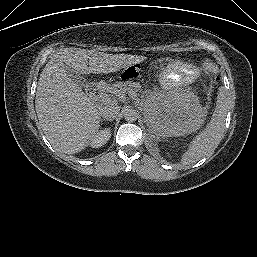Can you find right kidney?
Here are the masks:
<instances>
[{"instance_id":"obj_1","label":"right kidney","mask_w":257,"mask_h":257,"mask_svg":"<svg viewBox=\"0 0 257 257\" xmlns=\"http://www.w3.org/2000/svg\"><path fill=\"white\" fill-rule=\"evenodd\" d=\"M111 137V130L110 128H105L100 130L95 138L91 142V146L93 148L101 147L102 145L106 144Z\"/></svg>"}]
</instances>
